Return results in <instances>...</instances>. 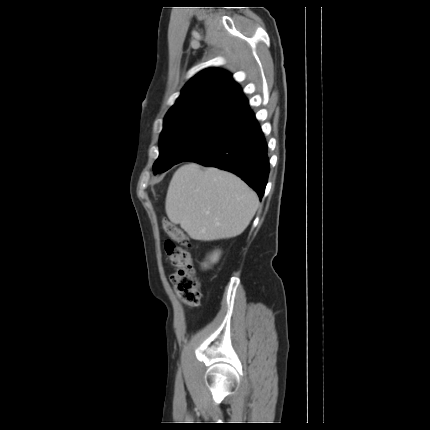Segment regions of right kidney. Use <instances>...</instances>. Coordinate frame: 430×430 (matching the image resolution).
<instances>
[{"label": "right kidney", "mask_w": 430, "mask_h": 430, "mask_svg": "<svg viewBox=\"0 0 430 430\" xmlns=\"http://www.w3.org/2000/svg\"><path fill=\"white\" fill-rule=\"evenodd\" d=\"M219 254L218 252H215L212 256H211V263H215L218 258H219ZM204 267H207V264H204Z\"/></svg>", "instance_id": "ca27d5eb"}]
</instances>
